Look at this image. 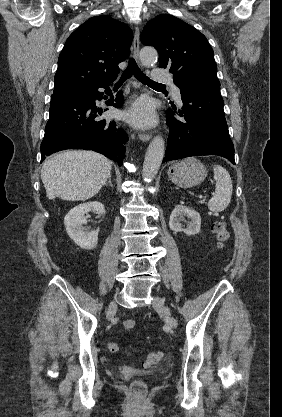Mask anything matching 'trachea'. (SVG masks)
<instances>
[{"mask_svg":"<svg viewBox=\"0 0 282 417\" xmlns=\"http://www.w3.org/2000/svg\"><path fill=\"white\" fill-rule=\"evenodd\" d=\"M134 75L139 82L144 83V85H162L165 86L163 83L154 82L148 78L138 67L136 61L131 57L128 63L126 70L123 72L122 76L120 77L119 81L115 84L116 87H120L124 81L131 76Z\"/></svg>","mask_w":282,"mask_h":417,"instance_id":"1","label":"trachea"}]
</instances>
